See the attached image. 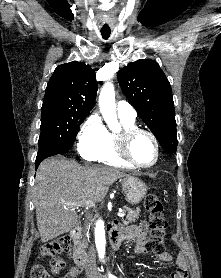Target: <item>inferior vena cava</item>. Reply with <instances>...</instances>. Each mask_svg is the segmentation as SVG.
I'll return each instance as SVG.
<instances>
[{
  "instance_id": "1",
  "label": "inferior vena cava",
  "mask_w": 221,
  "mask_h": 278,
  "mask_svg": "<svg viewBox=\"0 0 221 278\" xmlns=\"http://www.w3.org/2000/svg\"><path fill=\"white\" fill-rule=\"evenodd\" d=\"M85 270L86 271H96L95 250H94L93 245L90 246L88 253H87V261L85 263Z\"/></svg>"
}]
</instances>
